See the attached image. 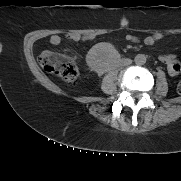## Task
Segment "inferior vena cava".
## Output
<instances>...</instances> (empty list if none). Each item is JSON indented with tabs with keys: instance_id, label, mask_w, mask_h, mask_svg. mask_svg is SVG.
<instances>
[{
	"instance_id": "inferior-vena-cava-1",
	"label": "inferior vena cava",
	"mask_w": 181,
	"mask_h": 181,
	"mask_svg": "<svg viewBox=\"0 0 181 181\" xmlns=\"http://www.w3.org/2000/svg\"><path fill=\"white\" fill-rule=\"evenodd\" d=\"M131 63H132V60L129 59V58H124V59H122V61H121V64H122L123 66L130 65Z\"/></svg>"
}]
</instances>
